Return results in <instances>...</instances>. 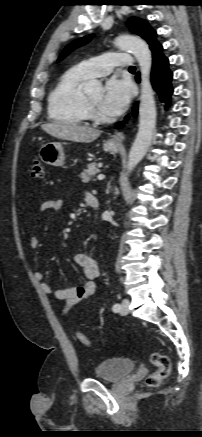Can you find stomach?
Wrapping results in <instances>:
<instances>
[{"mask_svg":"<svg viewBox=\"0 0 202 437\" xmlns=\"http://www.w3.org/2000/svg\"><path fill=\"white\" fill-rule=\"evenodd\" d=\"M103 150L114 154L119 151V145L113 140H107L103 144ZM39 157L45 164L63 166L65 154L62 144L58 142L44 144L39 150Z\"/></svg>","mask_w":202,"mask_h":437,"instance_id":"0dacf381","label":"stomach"}]
</instances>
